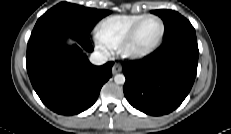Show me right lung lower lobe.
Segmentation results:
<instances>
[{
  "label": "right lung lower lobe",
  "instance_id": "obj_1",
  "mask_svg": "<svg viewBox=\"0 0 231 134\" xmlns=\"http://www.w3.org/2000/svg\"><path fill=\"white\" fill-rule=\"evenodd\" d=\"M73 36L81 47L67 46ZM93 51L88 34L72 26L52 23L33 30L27 46V72L41 101L62 115L78 114L97 100L112 76L113 62L92 65L82 51Z\"/></svg>",
  "mask_w": 231,
  "mask_h": 134
}]
</instances>
